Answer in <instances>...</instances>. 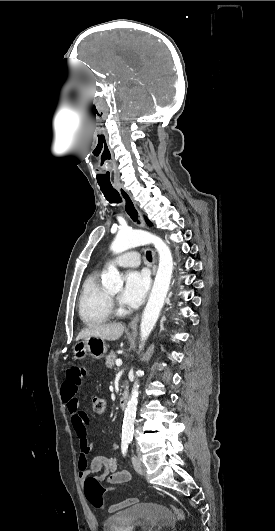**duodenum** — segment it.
<instances>
[{"label":"duodenum","mask_w":275,"mask_h":531,"mask_svg":"<svg viewBox=\"0 0 275 531\" xmlns=\"http://www.w3.org/2000/svg\"><path fill=\"white\" fill-rule=\"evenodd\" d=\"M129 397H130V391H129V388H128V382H126L125 392L121 396V398L119 400V403H118V406H119V408L121 410H123L127 406L128 401H129Z\"/></svg>","instance_id":"obj_1"}]
</instances>
